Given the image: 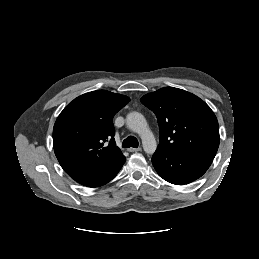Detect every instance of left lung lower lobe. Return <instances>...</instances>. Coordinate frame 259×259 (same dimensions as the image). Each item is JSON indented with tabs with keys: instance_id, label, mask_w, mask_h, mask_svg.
Instances as JSON below:
<instances>
[{
	"instance_id": "left-lung-lower-lobe-1",
	"label": "left lung lower lobe",
	"mask_w": 259,
	"mask_h": 259,
	"mask_svg": "<svg viewBox=\"0 0 259 259\" xmlns=\"http://www.w3.org/2000/svg\"><path fill=\"white\" fill-rule=\"evenodd\" d=\"M212 160L208 157L179 156L163 148H157L152 156L157 173L164 180L176 185L188 184L201 177Z\"/></svg>"
}]
</instances>
